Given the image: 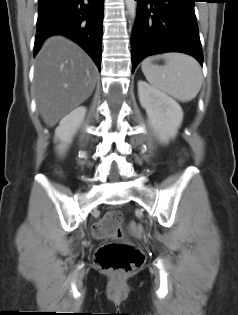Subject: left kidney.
Listing matches in <instances>:
<instances>
[{"instance_id": "obj_1", "label": "left kidney", "mask_w": 238, "mask_h": 315, "mask_svg": "<svg viewBox=\"0 0 238 315\" xmlns=\"http://www.w3.org/2000/svg\"><path fill=\"white\" fill-rule=\"evenodd\" d=\"M138 95L140 104L146 110L149 122L159 138L166 143L175 138L183 120L180 105L145 81L138 82Z\"/></svg>"}]
</instances>
